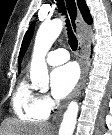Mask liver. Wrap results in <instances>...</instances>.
Segmentation results:
<instances>
[{
	"mask_svg": "<svg viewBox=\"0 0 112 135\" xmlns=\"http://www.w3.org/2000/svg\"><path fill=\"white\" fill-rule=\"evenodd\" d=\"M2 135H52L48 123L27 124L15 119H7L3 122Z\"/></svg>",
	"mask_w": 112,
	"mask_h": 135,
	"instance_id": "obj_1",
	"label": "liver"
}]
</instances>
